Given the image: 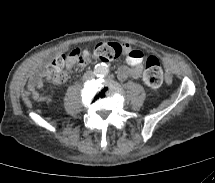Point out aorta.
Returning <instances> with one entry per match:
<instances>
[{
    "mask_svg": "<svg viewBox=\"0 0 215 183\" xmlns=\"http://www.w3.org/2000/svg\"><path fill=\"white\" fill-rule=\"evenodd\" d=\"M109 73V68L106 64L100 63L94 67V74L97 76H106Z\"/></svg>",
    "mask_w": 215,
    "mask_h": 183,
    "instance_id": "762f6f07",
    "label": "aorta"
}]
</instances>
